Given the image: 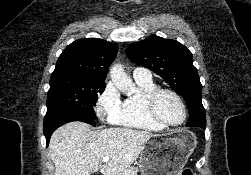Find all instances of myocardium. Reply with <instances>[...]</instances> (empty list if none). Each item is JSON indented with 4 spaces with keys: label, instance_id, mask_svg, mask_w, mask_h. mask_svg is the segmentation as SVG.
Returning <instances> with one entry per match:
<instances>
[{
    "label": "myocardium",
    "instance_id": "f54148a6",
    "mask_svg": "<svg viewBox=\"0 0 251 175\" xmlns=\"http://www.w3.org/2000/svg\"><path fill=\"white\" fill-rule=\"evenodd\" d=\"M162 93H171L173 95L176 96V98L180 101L183 109H184V119L183 121L179 124V125H169L166 122H164L160 116L157 113L156 110V102L158 97L162 94ZM143 104H144V108L148 114V116L155 122L157 123L159 126H161L164 129L167 130H177V129H181L183 128L189 119V109L188 106L182 96L181 93H179L177 90L172 89V88H155L154 90H152L151 92H149L143 99Z\"/></svg>",
    "mask_w": 251,
    "mask_h": 175
}]
</instances>
